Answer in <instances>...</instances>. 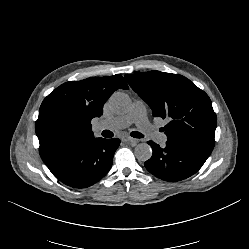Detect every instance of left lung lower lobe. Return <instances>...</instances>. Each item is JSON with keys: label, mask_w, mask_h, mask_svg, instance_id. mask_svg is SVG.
Instances as JSON below:
<instances>
[{"label": "left lung lower lobe", "mask_w": 249, "mask_h": 249, "mask_svg": "<svg viewBox=\"0 0 249 249\" xmlns=\"http://www.w3.org/2000/svg\"><path fill=\"white\" fill-rule=\"evenodd\" d=\"M152 157L145 162L146 169L154 176L169 182L180 181L195 174L213 149L182 141L167 140L160 147L148 141Z\"/></svg>", "instance_id": "obj_1"}]
</instances>
